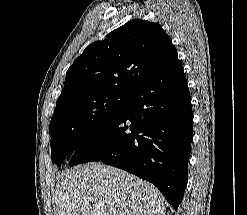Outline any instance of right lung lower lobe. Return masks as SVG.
Masks as SVG:
<instances>
[{
	"label": "right lung lower lobe",
	"instance_id": "98d812e1",
	"mask_svg": "<svg viewBox=\"0 0 247 215\" xmlns=\"http://www.w3.org/2000/svg\"><path fill=\"white\" fill-rule=\"evenodd\" d=\"M193 112L188 83L174 51L109 123L83 137L70 166L102 161L153 183L177 210L188 181Z\"/></svg>",
	"mask_w": 247,
	"mask_h": 215
}]
</instances>
